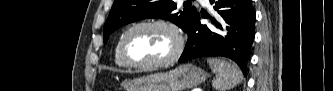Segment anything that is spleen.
<instances>
[{
  "label": "spleen",
  "mask_w": 333,
  "mask_h": 91,
  "mask_svg": "<svg viewBox=\"0 0 333 91\" xmlns=\"http://www.w3.org/2000/svg\"><path fill=\"white\" fill-rule=\"evenodd\" d=\"M207 62L215 73L212 86L216 91H228L242 81L243 74L237 64L217 58H208Z\"/></svg>",
  "instance_id": "1"
}]
</instances>
